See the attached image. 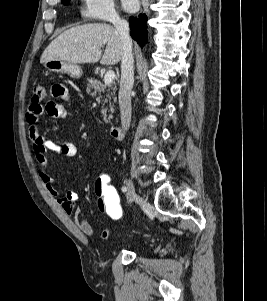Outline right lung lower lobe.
Returning a JSON list of instances; mask_svg holds the SVG:
<instances>
[{
  "mask_svg": "<svg viewBox=\"0 0 267 301\" xmlns=\"http://www.w3.org/2000/svg\"><path fill=\"white\" fill-rule=\"evenodd\" d=\"M130 22V28L132 31L130 32V35L134 40H136L141 47L144 46L145 43H147V16L145 14H140L137 17L131 16L129 18Z\"/></svg>",
  "mask_w": 267,
  "mask_h": 301,
  "instance_id": "1",
  "label": "right lung lower lobe"
}]
</instances>
